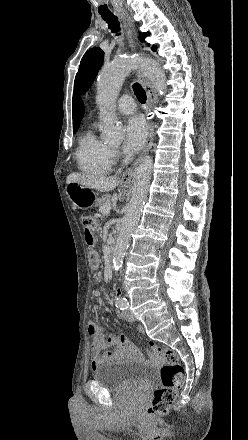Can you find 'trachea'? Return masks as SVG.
Listing matches in <instances>:
<instances>
[{
  "label": "trachea",
  "mask_w": 248,
  "mask_h": 440,
  "mask_svg": "<svg viewBox=\"0 0 248 440\" xmlns=\"http://www.w3.org/2000/svg\"><path fill=\"white\" fill-rule=\"evenodd\" d=\"M102 18L108 23L109 29H111L113 33H117L120 31V27H119L120 22L118 21L116 16L109 14V15H102ZM132 87L134 94L136 95L139 102L145 103L147 96L141 85L138 83H134Z\"/></svg>",
  "instance_id": "obj_1"
}]
</instances>
